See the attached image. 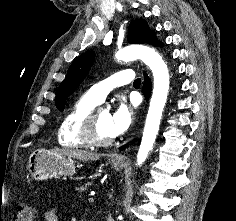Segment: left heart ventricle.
<instances>
[{"label": "left heart ventricle", "mask_w": 236, "mask_h": 221, "mask_svg": "<svg viewBox=\"0 0 236 221\" xmlns=\"http://www.w3.org/2000/svg\"><path fill=\"white\" fill-rule=\"evenodd\" d=\"M110 114L107 110L102 109L97 118V130L98 134L102 138H111L113 135L110 131Z\"/></svg>", "instance_id": "left-heart-ventricle-1"}]
</instances>
